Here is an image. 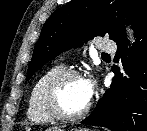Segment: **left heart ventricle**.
Wrapping results in <instances>:
<instances>
[{"label": "left heart ventricle", "mask_w": 147, "mask_h": 131, "mask_svg": "<svg viewBox=\"0 0 147 131\" xmlns=\"http://www.w3.org/2000/svg\"><path fill=\"white\" fill-rule=\"evenodd\" d=\"M60 103L69 114L83 110L88 102L85 99L82 79L72 78L64 83L60 92Z\"/></svg>", "instance_id": "b2bd125f"}]
</instances>
